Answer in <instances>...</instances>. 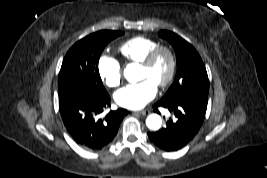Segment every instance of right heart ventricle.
<instances>
[{
  "instance_id": "e07e8e85",
  "label": "right heart ventricle",
  "mask_w": 267,
  "mask_h": 178,
  "mask_svg": "<svg viewBox=\"0 0 267 178\" xmlns=\"http://www.w3.org/2000/svg\"><path fill=\"white\" fill-rule=\"evenodd\" d=\"M159 43L149 37L138 35L124 41L118 48L121 56L132 63H140L147 53Z\"/></svg>"
}]
</instances>
